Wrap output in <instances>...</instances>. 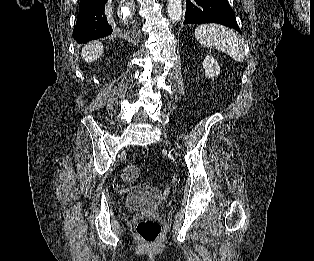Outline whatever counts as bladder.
I'll return each mask as SVG.
<instances>
[{
	"label": "bladder",
	"mask_w": 314,
	"mask_h": 261,
	"mask_svg": "<svg viewBox=\"0 0 314 261\" xmlns=\"http://www.w3.org/2000/svg\"><path fill=\"white\" fill-rule=\"evenodd\" d=\"M161 194L156 186H134L127 194L126 206L130 210H155L160 206Z\"/></svg>",
	"instance_id": "bladder-1"
}]
</instances>
